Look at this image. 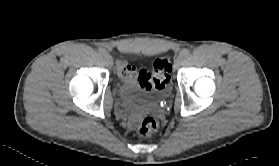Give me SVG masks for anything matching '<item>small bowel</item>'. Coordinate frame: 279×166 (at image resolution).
I'll list each match as a JSON object with an SVG mask.
<instances>
[{"instance_id": "1", "label": "small bowel", "mask_w": 279, "mask_h": 166, "mask_svg": "<svg viewBox=\"0 0 279 166\" xmlns=\"http://www.w3.org/2000/svg\"><path fill=\"white\" fill-rule=\"evenodd\" d=\"M135 74V68L130 63L120 60L117 63V75L122 81H131Z\"/></svg>"}]
</instances>
